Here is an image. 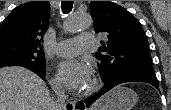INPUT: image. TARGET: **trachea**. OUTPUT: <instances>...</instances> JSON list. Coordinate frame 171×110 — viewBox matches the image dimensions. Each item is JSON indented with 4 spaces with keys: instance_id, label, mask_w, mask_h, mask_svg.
Listing matches in <instances>:
<instances>
[{
    "instance_id": "obj_1",
    "label": "trachea",
    "mask_w": 171,
    "mask_h": 110,
    "mask_svg": "<svg viewBox=\"0 0 171 110\" xmlns=\"http://www.w3.org/2000/svg\"><path fill=\"white\" fill-rule=\"evenodd\" d=\"M73 8V1H61V9L64 14L71 12Z\"/></svg>"
}]
</instances>
